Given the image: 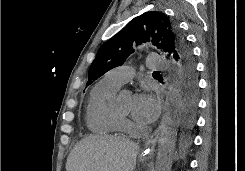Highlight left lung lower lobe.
<instances>
[{
	"instance_id": "1",
	"label": "left lung lower lobe",
	"mask_w": 245,
	"mask_h": 171,
	"mask_svg": "<svg viewBox=\"0 0 245 171\" xmlns=\"http://www.w3.org/2000/svg\"><path fill=\"white\" fill-rule=\"evenodd\" d=\"M195 61H175V78L178 80L182 93L183 111L182 122L186 129L190 128L194 121V113L197 105V80L195 74ZM191 144V138L187 132L179 137V147L185 153Z\"/></svg>"
}]
</instances>
